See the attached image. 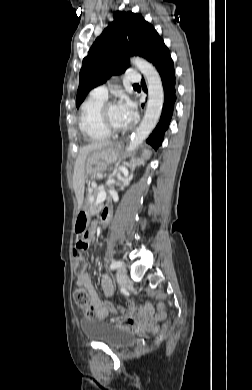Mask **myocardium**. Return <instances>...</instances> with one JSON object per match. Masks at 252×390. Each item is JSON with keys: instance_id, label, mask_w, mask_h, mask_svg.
Wrapping results in <instances>:
<instances>
[{"instance_id": "myocardium-1", "label": "myocardium", "mask_w": 252, "mask_h": 390, "mask_svg": "<svg viewBox=\"0 0 252 390\" xmlns=\"http://www.w3.org/2000/svg\"><path fill=\"white\" fill-rule=\"evenodd\" d=\"M115 102H105L103 104V106L101 107L100 109V112H99V120H100V124L102 126V128L107 132L109 133L110 135H119V134H122L124 132L127 131V127L125 128H122V129H116L115 127H113L109 121H108V118H107V108L110 106V105H114Z\"/></svg>"}]
</instances>
